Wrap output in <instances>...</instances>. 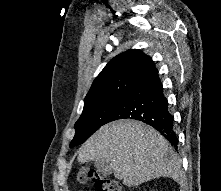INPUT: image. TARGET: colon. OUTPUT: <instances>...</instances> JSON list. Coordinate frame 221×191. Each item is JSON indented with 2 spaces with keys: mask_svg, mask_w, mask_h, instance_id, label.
I'll use <instances>...</instances> for the list:
<instances>
[{
  "mask_svg": "<svg viewBox=\"0 0 221 191\" xmlns=\"http://www.w3.org/2000/svg\"><path fill=\"white\" fill-rule=\"evenodd\" d=\"M77 180L81 184L88 181L93 182L96 191H124L122 185L118 181L110 179L89 167H83L78 172Z\"/></svg>",
  "mask_w": 221,
  "mask_h": 191,
  "instance_id": "obj_1",
  "label": "colon"
}]
</instances>
